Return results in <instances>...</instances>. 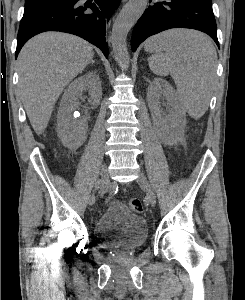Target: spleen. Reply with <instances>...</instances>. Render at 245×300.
Returning <instances> with one entry per match:
<instances>
[{"mask_svg":"<svg viewBox=\"0 0 245 300\" xmlns=\"http://www.w3.org/2000/svg\"><path fill=\"white\" fill-rule=\"evenodd\" d=\"M145 51L151 71L159 76L170 74L179 98L193 118L208 109L217 54L211 41L203 34L186 29H172L150 37Z\"/></svg>","mask_w":245,"mask_h":300,"instance_id":"3e777b00","label":"spleen"}]
</instances>
